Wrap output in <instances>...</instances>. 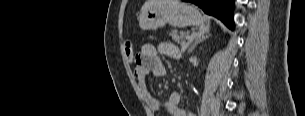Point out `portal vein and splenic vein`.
<instances>
[{
  "mask_svg": "<svg viewBox=\"0 0 305 116\" xmlns=\"http://www.w3.org/2000/svg\"><path fill=\"white\" fill-rule=\"evenodd\" d=\"M193 35H195V33H194ZM186 39H187L188 41H191V40H192V37H186Z\"/></svg>",
  "mask_w": 305,
  "mask_h": 116,
  "instance_id": "1",
  "label": "portal vein and splenic vein"
}]
</instances>
